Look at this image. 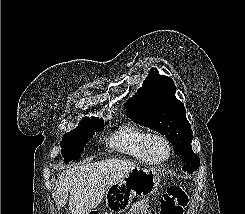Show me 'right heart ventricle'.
<instances>
[{"mask_svg":"<svg viewBox=\"0 0 245 214\" xmlns=\"http://www.w3.org/2000/svg\"><path fill=\"white\" fill-rule=\"evenodd\" d=\"M149 132L135 124L121 126L110 138L109 146L117 152L129 156L139 162L149 164L143 142Z\"/></svg>","mask_w":245,"mask_h":214,"instance_id":"right-heart-ventricle-1","label":"right heart ventricle"}]
</instances>
